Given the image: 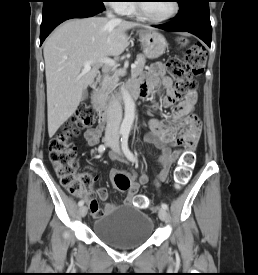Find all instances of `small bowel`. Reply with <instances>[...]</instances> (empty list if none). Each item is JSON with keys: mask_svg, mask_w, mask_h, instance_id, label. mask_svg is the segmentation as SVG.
Wrapping results in <instances>:
<instances>
[{"mask_svg": "<svg viewBox=\"0 0 258 275\" xmlns=\"http://www.w3.org/2000/svg\"><path fill=\"white\" fill-rule=\"evenodd\" d=\"M128 87L139 88L141 92L140 96L142 97H146L157 88L164 89L166 93L160 102L155 104V108L159 105L169 107L178 99L173 86V79L166 74L164 65L160 62L152 64L148 74L139 80L131 82ZM196 101V94L189 93L184 101L174 107L169 119H151L149 121V132L146 134L145 140L153 144L160 151L158 163L161 167V173L155 182L165 181L173 163L181 157L184 151L192 150L196 145L201 132L200 120L194 114ZM102 132L103 126L101 125L87 130L85 133L87 145L89 147L96 146ZM179 146H183L184 148L172 150V148ZM110 158L112 160L125 161L114 153L110 154ZM116 174V170H112L110 173L113 181ZM128 177L130 179V187L124 199L125 205H131L141 186L149 182L148 174L144 169H140L139 175L129 172ZM107 197L108 191L105 187H99L95 197L84 195L89 210L94 217H100L115 209L116 205L114 203H106L103 210L100 208L98 200H106Z\"/></svg>", "mask_w": 258, "mask_h": 275, "instance_id": "c3829d8e", "label": "small bowel"}]
</instances>
